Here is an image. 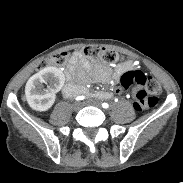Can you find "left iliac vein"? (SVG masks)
Segmentation results:
<instances>
[{
	"mask_svg": "<svg viewBox=\"0 0 183 183\" xmlns=\"http://www.w3.org/2000/svg\"><path fill=\"white\" fill-rule=\"evenodd\" d=\"M88 104L96 106V107H100L99 102L96 100H90V101H88Z\"/></svg>",
	"mask_w": 183,
	"mask_h": 183,
	"instance_id": "4c4485c4",
	"label": "left iliac vein"
}]
</instances>
